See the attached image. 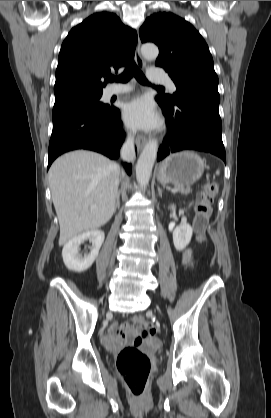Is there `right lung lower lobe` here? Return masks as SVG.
<instances>
[{"label":"right lung lower lobe","instance_id":"98d812e1","mask_svg":"<svg viewBox=\"0 0 271 418\" xmlns=\"http://www.w3.org/2000/svg\"><path fill=\"white\" fill-rule=\"evenodd\" d=\"M120 111L115 107L85 110L53 120L48 168L61 154L88 149L116 159L124 140ZM128 174L131 165L124 164Z\"/></svg>","mask_w":271,"mask_h":418}]
</instances>
